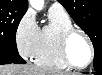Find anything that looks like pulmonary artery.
<instances>
[{"instance_id": "e3ab8cb5", "label": "pulmonary artery", "mask_w": 102, "mask_h": 75, "mask_svg": "<svg viewBox=\"0 0 102 75\" xmlns=\"http://www.w3.org/2000/svg\"><path fill=\"white\" fill-rule=\"evenodd\" d=\"M50 9H61V10H64V8L62 7V5L59 2L51 3Z\"/></svg>"}]
</instances>
